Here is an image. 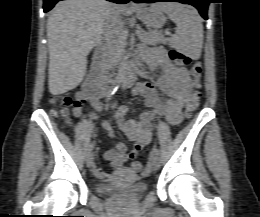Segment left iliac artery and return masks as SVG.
Segmentation results:
<instances>
[{
    "mask_svg": "<svg viewBox=\"0 0 260 217\" xmlns=\"http://www.w3.org/2000/svg\"><path fill=\"white\" fill-rule=\"evenodd\" d=\"M126 87H127L126 85H123V88H124V89H125ZM153 152H154V154H156V155H158V156L160 155V151H159V149L156 148V147L153 149Z\"/></svg>",
    "mask_w": 260,
    "mask_h": 217,
    "instance_id": "obj_1",
    "label": "left iliac artery"
}]
</instances>
